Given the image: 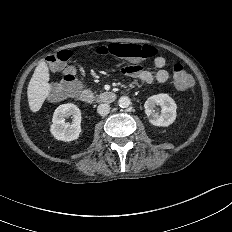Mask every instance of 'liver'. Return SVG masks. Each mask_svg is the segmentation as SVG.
<instances>
[{"label":"liver","mask_w":232,"mask_h":232,"mask_svg":"<svg viewBox=\"0 0 232 232\" xmlns=\"http://www.w3.org/2000/svg\"><path fill=\"white\" fill-rule=\"evenodd\" d=\"M49 69L45 61H42L35 68L27 88L29 107L32 112H37L42 107L45 99L50 93Z\"/></svg>","instance_id":"liver-1"}]
</instances>
